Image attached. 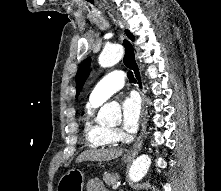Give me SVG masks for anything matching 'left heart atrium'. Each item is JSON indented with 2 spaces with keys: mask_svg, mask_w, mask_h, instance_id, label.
Instances as JSON below:
<instances>
[{
  "mask_svg": "<svg viewBox=\"0 0 221 191\" xmlns=\"http://www.w3.org/2000/svg\"><path fill=\"white\" fill-rule=\"evenodd\" d=\"M122 125L128 132H135L140 119V102L136 95L125 96L121 101Z\"/></svg>",
  "mask_w": 221,
  "mask_h": 191,
  "instance_id": "obj_1",
  "label": "left heart atrium"
}]
</instances>
